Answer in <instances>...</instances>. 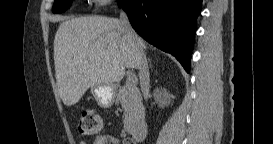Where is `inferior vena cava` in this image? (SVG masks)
Returning a JSON list of instances; mask_svg holds the SVG:
<instances>
[{
	"label": "inferior vena cava",
	"instance_id": "inferior-vena-cava-1",
	"mask_svg": "<svg viewBox=\"0 0 273 144\" xmlns=\"http://www.w3.org/2000/svg\"><path fill=\"white\" fill-rule=\"evenodd\" d=\"M120 22L126 34L130 36L133 40V47L135 51V55L138 61V68H139V79L140 85L143 92L144 97L147 99L149 95V69L146 60V56L144 53V45L142 40L135 31L132 29L127 14L124 11L120 12Z\"/></svg>",
	"mask_w": 273,
	"mask_h": 144
}]
</instances>
